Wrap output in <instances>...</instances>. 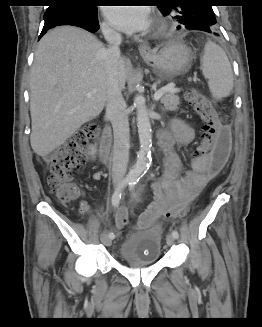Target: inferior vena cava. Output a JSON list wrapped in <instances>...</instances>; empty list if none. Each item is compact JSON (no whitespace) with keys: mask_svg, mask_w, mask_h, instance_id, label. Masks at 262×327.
<instances>
[{"mask_svg":"<svg viewBox=\"0 0 262 327\" xmlns=\"http://www.w3.org/2000/svg\"><path fill=\"white\" fill-rule=\"evenodd\" d=\"M102 33L108 42L106 50L107 67V103L106 114L110 118L114 132L112 159V180H123L127 171L129 159V122L126 103L123 99L119 79L118 66L120 61L121 34L107 25L102 26Z\"/></svg>","mask_w":262,"mask_h":327,"instance_id":"602c4592","label":"inferior vena cava"}]
</instances>
